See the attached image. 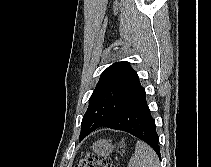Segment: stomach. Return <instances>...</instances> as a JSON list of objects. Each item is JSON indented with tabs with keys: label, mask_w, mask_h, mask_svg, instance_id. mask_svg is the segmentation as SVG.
Wrapping results in <instances>:
<instances>
[{
	"label": "stomach",
	"mask_w": 211,
	"mask_h": 167,
	"mask_svg": "<svg viewBox=\"0 0 211 167\" xmlns=\"http://www.w3.org/2000/svg\"><path fill=\"white\" fill-rule=\"evenodd\" d=\"M124 141L121 142L120 148H124ZM93 151L99 156H108L114 149V146L108 140H98L93 143Z\"/></svg>",
	"instance_id": "0dacf381"
}]
</instances>
